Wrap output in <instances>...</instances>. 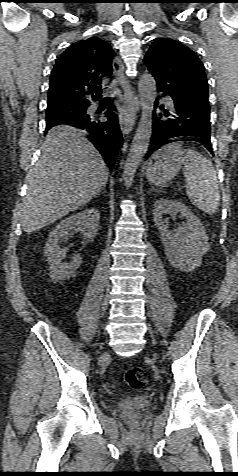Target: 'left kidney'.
<instances>
[{"label": "left kidney", "mask_w": 238, "mask_h": 476, "mask_svg": "<svg viewBox=\"0 0 238 476\" xmlns=\"http://www.w3.org/2000/svg\"><path fill=\"white\" fill-rule=\"evenodd\" d=\"M153 212L154 223L164 244L165 255L172 267L185 272L197 268L210 248L206 230L200 219L183 203L165 198L155 202ZM178 212L186 218V224L175 231H168V223L163 215Z\"/></svg>", "instance_id": "5707ae66"}]
</instances>
